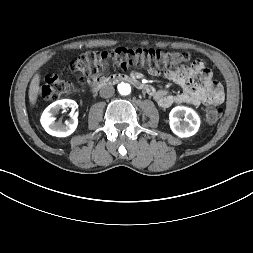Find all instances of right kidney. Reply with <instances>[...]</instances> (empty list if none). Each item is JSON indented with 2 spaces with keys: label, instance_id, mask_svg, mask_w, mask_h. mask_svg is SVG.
<instances>
[{
  "label": "right kidney",
  "instance_id": "obj_1",
  "mask_svg": "<svg viewBox=\"0 0 253 253\" xmlns=\"http://www.w3.org/2000/svg\"><path fill=\"white\" fill-rule=\"evenodd\" d=\"M71 108L72 112L77 108V103L70 99H62L50 104L42 113L41 124L45 131L56 137H66L71 135L78 125L77 115H73L69 121L64 124L62 122H56L54 115L57 114L60 109Z\"/></svg>",
  "mask_w": 253,
  "mask_h": 253
}]
</instances>
